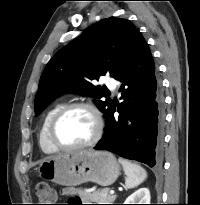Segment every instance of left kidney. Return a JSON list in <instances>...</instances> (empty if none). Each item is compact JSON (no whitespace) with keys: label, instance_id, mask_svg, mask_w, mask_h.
Listing matches in <instances>:
<instances>
[{"label":"left kidney","instance_id":"5707ae66","mask_svg":"<svg viewBox=\"0 0 200 205\" xmlns=\"http://www.w3.org/2000/svg\"><path fill=\"white\" fill-rule=\"evenodd\" d=\"M124 204H150L149 189L139 188L125 200Z\"/></svg>","mask_w":200,"mask_h":205}]
</instances>
